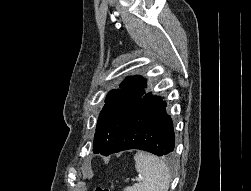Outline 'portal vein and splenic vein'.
Returning a JSON list of instances; mask_svg holds the SVG:
<instances>
[{"label": "portal vein and splenic vein", "mask_w": 251, "mask_h": 191, "mask_svg": "<svg viewBox=\"0 0 251 191\" xmlns=\"http://www.w3.org/2000/svg\"><path fill=\"white\" fill-rule=\"evenodd\" d=\"M133 181H139V178H133Z\"/></svg>", "instance_id": "obj_1"}]
</instances>
